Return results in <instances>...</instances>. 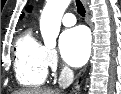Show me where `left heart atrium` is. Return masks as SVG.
Listing matches in <instances>:
<instances>
[{"mask_svg": "<svg viewBox=\"0 0 121 94\" xmlns=\"http://www.w3.org/2000/svg\"><path fill=\"white\" fill-rule=\"evenodd\" d=\"M60 51L66 63L73 67L82 66L90 53V37L84 27L66 30L60 37Z\"/></svg>", "mask_w": 121, "mask_h": 94, "instance_id": "1", "label": "left heart atrium"}]
</instances>
